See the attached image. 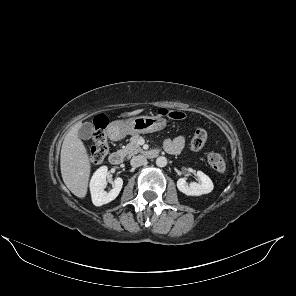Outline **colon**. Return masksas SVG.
<instances>
[{"label":"colon","mask_w":296,"mask_h":296,"mask_svg":"<svg viewBox=\"0 0 296 296\" xmlns=\"http://www.w3.org/2000/svg\"><path fill=\"white\" fill-rule=\"evenodd\" d=\"M159 114L169 117L175 120H182L185 118V114L182 111L160 109ZM108 120L105 116L100 115L94 121L93 132V145L88 150V156L93 164L100 163L109 151V145L105 128L107 127ZM207 141V132L201 127H197L194 131V135L190 142L192 150L197 151L203 148ZM206 159L211 167L218 173H224L226 171V163L223 157L216 152H209L206 155Z\"/></svg>","instance_id":"1"}]
</instances>
